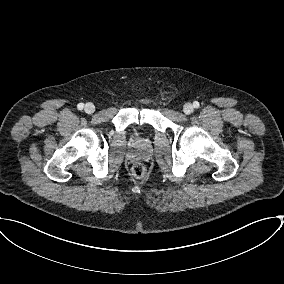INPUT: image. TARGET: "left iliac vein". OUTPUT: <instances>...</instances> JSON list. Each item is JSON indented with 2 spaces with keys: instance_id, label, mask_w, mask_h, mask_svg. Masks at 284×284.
Masks as SVG:
<instances>
[{
  "instance_id": "obj_1",
  "label": "left iliac vein",
  "mask_w": 284,
  "mask_h": 284,
  "mask_svg": "<svg viewBox=\"0 0 284 284\" xmlns=\"http://www.w3.org/2000/svg\"><path fill=\"white\" fill-rule=\"evenodd\" d=\"M183 111L185 114H191L194 111L193 105L190 103H186L183 107Z\"/></svg>"
}]
</instances>
